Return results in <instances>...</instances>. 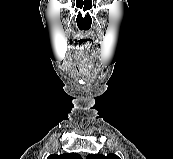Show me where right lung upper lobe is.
<instances>
[{
    "instance_id": "obj_1",
    "label": "right lung upper lobe",
    "mask_w": 173,
    "mask_h": 159,
    "mask_svg": "<svg viewBox=\"0 0 173 159\" xmlns=\"http://www.w3.org/2000/svg\"><path fill=\"white\" fill-rule=\"evenodd\" d=\"M47 159H82V157L77 153H65L61 155H50Z\"/></svg>"
}]
</instances>
